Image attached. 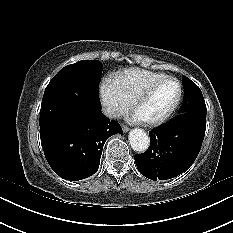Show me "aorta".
Segmentation results:
<instances>
[{"mask_svg":"<svg viewBox=\"0 0 233 233\" xmlns=\"http://www.w3.org/2000/svg\"><path fill=\"white\" fill-rule=\"evenodd\" d=\"M129 142L132 149L136 152H145L149 147V137L140 128H135L129 133Z\"/></svg>","mask_w":233,"mask_h":233,"instance_id":"762f6f07","label":"aorta"}]
</instances>
